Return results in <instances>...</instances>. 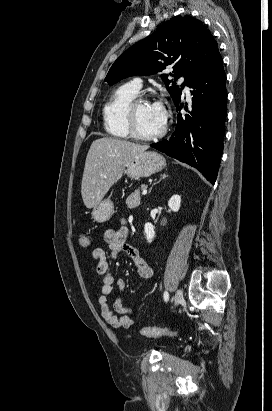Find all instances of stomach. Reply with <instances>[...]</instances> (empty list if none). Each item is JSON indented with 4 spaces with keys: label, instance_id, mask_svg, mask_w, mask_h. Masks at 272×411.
<instances>
[{
    "label": "stomach",
    "instance_id": "obj_1",
    "mask_svg": "<svg viewBox=\"0 0 272 411\" xmlns=\"http://www.w3.org/2000/svg\"><path fill=\"white\" fill-rule=\"evenodd\" d=\"M166 165L164 157L154 151H145L131 159L124 168V173L131 179L149 177L161 171ZM114 212V204L108 198L94 207L91 216L95 222L108 221Z\"/></svg>",
    "mask_w": 272,
    "mask_h": 411
}]
</instances>
